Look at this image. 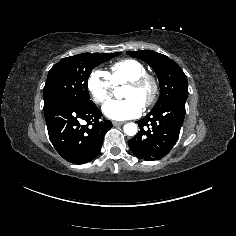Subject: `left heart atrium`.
<instances>
[{"mask_svg":"<svg viewBox=\"0 0 236 236\" xmlns=\"http://www.w3.org/2000/svg\"><path fill=\"white\" fill-rule=\"evenodd\" d=\"M142 112L143 105L134 99L112 101L104 108L105 116L116 121L137 118Z\"/></svg>","mask_w":236,"mask_h":236,"instance_id":"obj_1","label":"left heart atrium"}]
</instances>
